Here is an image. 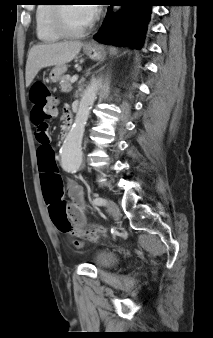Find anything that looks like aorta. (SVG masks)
<instances>
[{"mask_svg":"<svg viewBox=\"0 0 213 338\" xmlns=\"http://www.w3.org/2000/svg\"><path fill=\"white\" fill-rule=\"evenodd\" d=\"M99 81L94 80L81 96L74 123L61 148V166L67 172L80 169L83 159L82 140L90 111L96 99Z\"/></svg>","mask_w":213,"mask_h":338,"instance_id":"1","label":"aorta"}]
</instances>
